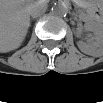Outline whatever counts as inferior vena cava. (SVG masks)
Masks as SVG:
<instances>
[{
  "instance_id": "602c4592",
  "label": "inferior vena cava",
  "mask_w": 103,
  "mask_h": 103,
  "mask_svg": "<svg viewBox=\"0 0 103 103\" xmlns=\"http://www.w3.org/2000/svg\"><path fill=\"white\" fill-rule=\"evenodd\" d=\"M47 9V6L44 2L38 1L35 2L30 9V14L32 17L36 18L42 15Z\"/></svg>"
}]
</instances>
